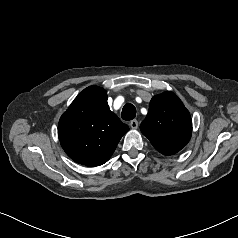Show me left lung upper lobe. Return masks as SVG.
<instances>
[{
    "mask_svg": "<svg viewBox=\"0 0 238 238\" xmlns=\"http://www.w3.org/2000/svg\"><path fill=\"white\" fill-rule=\"evenodd\" d=\"M140 129L157 151L173 155L189 142L192 121L181 100L167 91L151 99L149 112Z\"/></svg>",
    "mask_w": 238,
    "mask_h": 238,
    "instance_id": "5c2ea615",
    "label": "left lung upper lobe"
}]
</instances>
